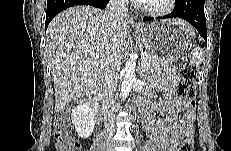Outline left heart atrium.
Segmentation results:
<instances>
[{
	"label": "left heart atrium",
	"mask_w": 231,
	"mask_h": 151,
	"mask_svg": "<svg viewBox=\"0 0 231 151\" xmlns=\"http://www.w3.org/2000/svg\"><path fill=\"white\" fill-rule=\"evenodd\" d=\"M148 0H134L135 3H145L147 2Z\"/></svg>",
	"instance_id": "1"
}]
</instances>
